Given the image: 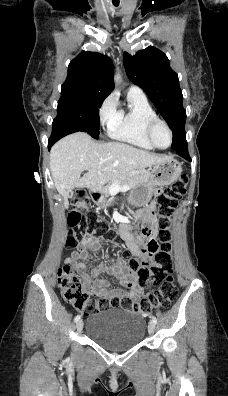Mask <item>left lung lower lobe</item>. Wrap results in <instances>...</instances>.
<instances>
[{
	"instance_id": "left-lung-lower-lobe-1",
	"label": "left lung lower lobe",
	"mask_w": 228,
	"mask_h": 396,
	"mask_svg": "<svg viewBox=\"0 0 228 396\" xmlns=\"http://www.w3.org/2000/svg\"><path fill=\"white\" fill-rule=\"evenodd\" d=\"M183 139L186 140V135L183 136ZM184 158L187 160H190L188 152L186 154H183Z\"/></svg>"
}]
</instances>
